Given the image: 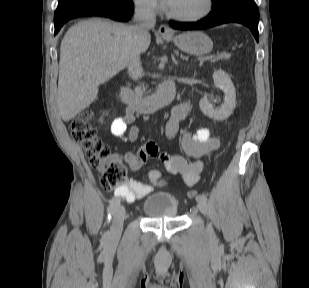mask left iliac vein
<instances>
[{"instance_id": "left-iliac-vein-1", "label": "left iliac vein", "mask_w": 309, "mask_h": 288, "mask_svg": "<svg viewBox=\"0 0 309 288\" xmlns=\"http://www.w3.org/2000/svg\"><path fill=\"white\" fill-rule=\"evenodd\" d=\"M197 207L201 213H203L204 215L207 214V203L205 200L198 201Z\"/></svg>"}]
</instances>
